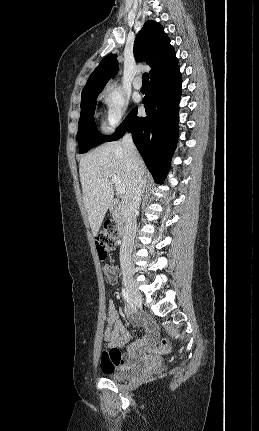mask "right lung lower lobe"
<instances>
[{"label": "right lung lower lobe", "instance_id": "obj_1", "mask_svg": "<svg viewBox=\"0 0 259 431\" xmlns=\"http://www.w3.org/2000/svg\"><path fill=\"white\" fill-rule=\"evenodd\" d=\"M182 78L176 64L150 80L143 99L146 117L133 109L118 129L105 142L120 139L128 130L147 168L157 183H162L169 170L178 138V111Z\"/></svg>", "mask_w": 259, "mask_h": 431}]
</instances>
